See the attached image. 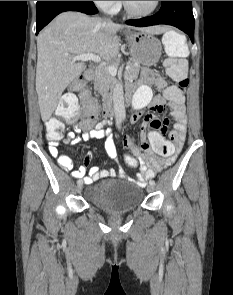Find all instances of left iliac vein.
I'll return each mask as SVG.
<instances>
[{
  "label": "left iliac vein",
  "instance_id": "4c4485c4",
  "mask_svg": "<svg viewBox=\"0 0 233 295\" xmlns=\"http://www.w3.org/2000/svg\"><path fill=\"white\" fill-rule=\"evenodd\" d=\"M147 192L151 193L154 191V186L153 185H148L147 188H146Z\"/></svg>",
  "mask_w": 233,
  "mask_h": 295
}]
</instances>
